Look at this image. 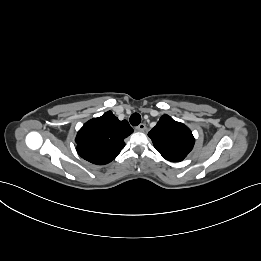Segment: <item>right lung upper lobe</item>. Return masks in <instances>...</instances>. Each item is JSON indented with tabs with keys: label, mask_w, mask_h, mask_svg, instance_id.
<instances>
[{
	"label": "right lung upper lobe",
	"mask_w": 261,
	"mask_h": 261,
	"mask_svg": "<svg viewBox=\"0 0 261 261\" xmlns=\"http://www.w3.org/2000/svg\"><path fill=\"white\" fill-rule=\"evenodd\" d=\"M133 129L111 111L86 122L76 136L77 152L85 160L104 165L116 158L124 148V139Z\"/></svg>",
	"instance_id": "obj_1"
}]
</instances>
